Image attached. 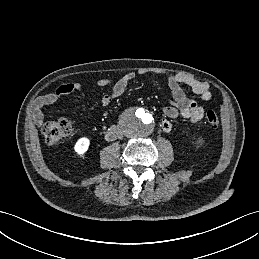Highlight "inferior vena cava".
<instances>
[{
	"label": "inferior vena cava",
	"instance_id": "inferior-vena-cava-1",
	"mask_svg": "<svg viewBox=\"0 0 259 259\" xmlns=\"http://www.w3.org/2000/svg\"><path fill=\"white\" fill-rule=\"evenodd\" d=\"M118 136H119V137H122V133H121V132H119V133H118Z\"/></svg>",
	"mask_w": 259,
	"mask_h": 259
}]
</instances>
